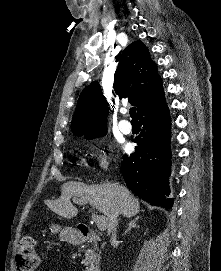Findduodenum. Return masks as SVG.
Returning <instances> with one entry per match:
<instances>
[{"instance_id":"obj_1","label":"duodenum","mask_w":221,"mask_h":271,"mask_svg":"<svg viewBox=\"0 0 221 271\" xmlns=\"http://www.w3.org/2000/svg\"><path fill=\"white\" fill-rule=\"evenodd\" d=\"M99 238L97 234L92 230H80L78 234L72 237L71 241L75 244H82L87 242H98ZM87 271H100L98 266H91Z\"/></svg>"}]
</instances>
